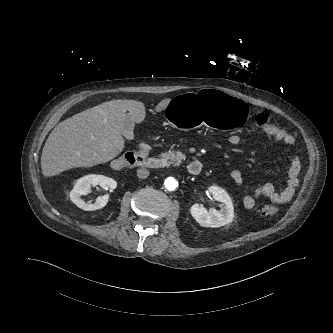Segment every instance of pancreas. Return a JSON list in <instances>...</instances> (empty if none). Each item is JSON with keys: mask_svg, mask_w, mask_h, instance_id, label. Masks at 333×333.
Here are the masks:
<instances>
[{"mask_svg": "<svg viewBox=\"0 0 333 333\" xmlns=\"http://www.w3.org/2000/svg\"><path fill=\"white\" fill-rule=\"evenodd\" d=\"M160 156L162 157L163 160L167 161L168 164H174L176 166H178L181 163V161L186 158L185 155L179 151L164 152L161 153Z\"/></svg>", "mask_w": 333, "mask_h": 333, "instance_id": "1", "label": "pancreas"}]
</instances>
